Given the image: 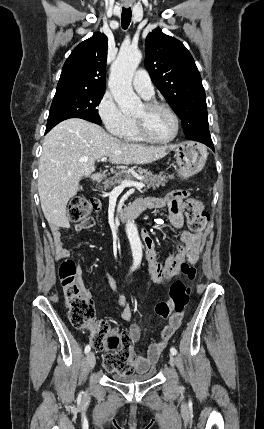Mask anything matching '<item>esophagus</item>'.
Masks as SVG:
<instances>
[{"label": "esophagus", "mask_w": 264, "mask_h": 429, "mask_svg": "<svg viewBox=\"0 0 264 429\" xmlns=\"http://www.w3.org/2000/svg\"><path fill=\"white\" fill-rule=\"evenodd\" d=\"M125 7H127V8L130 7V4H125Z\"/></svg>", "instance_id": "1"}]
</instances>
